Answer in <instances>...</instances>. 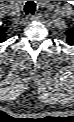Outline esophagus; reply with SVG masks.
Instances as JSON below:
<instances>
[{
	"label": "esophagus",
	"instance_id": "obj_1",
	"mask_svg": "<svg viewBox=\"0 0 74 122\" xmlns=\"http://www.w3.org/2000/svg\"><path fill=\"white\" fill-rule=\"evenodd\" d=\"M40 17H41L40 14L36 13L34 15H30L29 16V20H31V21H38L40 19Z\"/></svg>",
	"mask_w": 74,
	"mask_h": 122
}]
</instances>
